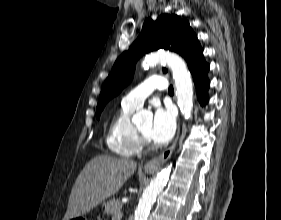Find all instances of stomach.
I'll return each mask as SVG.
<instances>
[{
    "mask_svg": "<svg viewBox=\"0 0 281 220\" xmlns=\"http://www.w3.org/2000/svg\"><path fill=\"white\" fill-rule=\"evenodd\" d=\"M75 220H81V219H83V217H76V218H74Z\"/></svg>",
    "mask_w": 281,
    "mask_h": 220,
    "instance_id": "stomach-1",
    "label": "stomach"
}]
</instances>
